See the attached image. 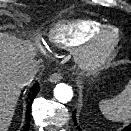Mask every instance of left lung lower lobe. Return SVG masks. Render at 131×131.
Masks as SVG:
<instances>
[{
    "mask_svg": "<svg viewBox=\"0 0 131 131\" xmlns=\"http://www.w3.org/2000/svg\"><path fill=\"white\" fill-rule=\"evenodd\" d=\"M130 60H131V56H130ZM73 120L75 125H77V121L75 118V114H73ZM77 128L79 129V131H81V129L79 128V126H77ZM121 131H131V124H129L128 126H126L124 129H122Z\"/></svg>",
    "mask_w": 131,
    "mask_h": 131,
    "instance_id": "obj_1",
    "label": "left lung lower lobe"
}]
</instances>
